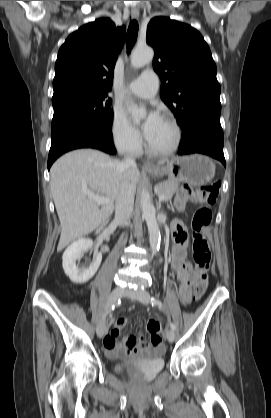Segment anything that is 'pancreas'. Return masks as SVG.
I'll return each mask as SVG.
<instances>
[{
    "label": "pancreas",
    "mask_w": 271,
    "mask_h": 418,
    "mask_svg": "<svg viewBox=\"0 0 271 418\" xmlns=\"http://www.w3.org/2000/svg\"><path fill=\"white\" fill-rule=\"evenodd\" d=\"M178 182L175 181H165L162 183H159L155 186V191L156 193L160 196V195H164V201L168 202L172 199L174 193L177 191L178 189Z\"/></svg>",
    "instance_id": "cf45deb5"
}]
</instances>
